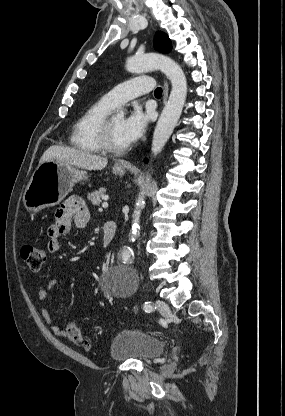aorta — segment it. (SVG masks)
Segmentation results:
<instances>
[{
  "label": "aorta",
  "instance_id": "aorta-1",
  "mask_svg": "<svg viewBox=\"0 0 285 416\" xmlns=\"http://www.w3.org/2000/svg\"><path fill=\"white\" fill-rule=\"evenodd\" d=\"M126 69L131 73H144L159 69L170 80L172 88L168 101L159 117L154 130L151 151L155 157L170 138L175 126L182 113L183 105L187 95V81L181 67L172 59L155 53L144 54L142 56L131 57L126 62ZM123 116L124 112L120 111ZM144 188L136 199L135 210L133 213V224L130 239L135 241L140 229L141 209L145 205ZM124 263L131 261V249L128 247L122 253Z\"/></svg>",
  "mask_w": 285,
  "mask_h": 416
}]
</instances>
